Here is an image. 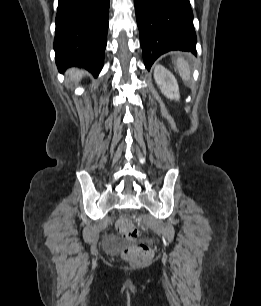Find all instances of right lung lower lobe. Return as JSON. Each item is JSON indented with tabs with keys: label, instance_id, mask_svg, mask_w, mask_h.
Returning a JSON list of instances; mask_svg holds the SVG:
<instances>
[{
	"label": "right lung lower lobe",
	"instance_id": "1",
	"mask_svg": "<svg viewBox=\"0 0 261 306\" xmlns=\"http://www.w3.org/2000/svg\"><path fill=\"white\" fill-rule=\"evenodd\" d=\"M108 18L109 0H59L54 39L59 71L70 66L101 71Z\"/></svg>",
	"mask_w": 261,
	"mask_h": 306
}]
</instances>
